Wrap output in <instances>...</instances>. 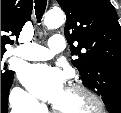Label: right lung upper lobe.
<instances>
[{"label":"right lung upper lobe","mask_w":121,"mask_h":113,"mask_svg":"<svg viewBox=\"0 0 121 113\" xmlns=\"http://www.w3.org/2000/svg\"><path fill=\"white\" fill-rule=\"evenodd\" d=\"M33 0H1V52L5 44H13L10 35L19 37L32 13Z\"/></svg>","instance_id":"cb5924a9"}]
</instances>
